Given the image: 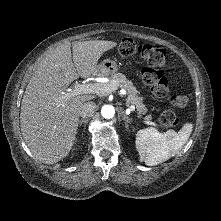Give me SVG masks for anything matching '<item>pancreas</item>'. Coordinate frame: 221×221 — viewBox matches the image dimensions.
Returning a JSON list of instances; mask_svg holds the SVG:
<instances>
[{
	"label": "pancreas",
	"mask_w": 221,
	"mask_h": 221,
	"mask_svg": "<svg viewBox=\"0 0 221 221\" xmlns=\"http://www.w3.org/2000/svg\"><path fill=\"white\" fill-rule=\"evenodd\" d=\"M108 86H114L117 88H123L127 92V104L133 105L138 111L139 117L147 113V108L143 103V98L138 95L136 87L133 83L129 81L126 76L122 73H116L110 77V82L106 83ZM152 118V115L149 114L145 116V120L148 121Z\"/></svg>",
	"instance_id": "obj_1"
}]
</instances>
